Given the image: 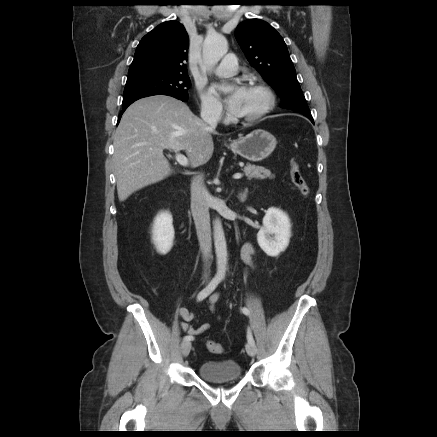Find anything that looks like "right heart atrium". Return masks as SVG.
I'll list each match as a JSON object with an SVG mask.
<instances>
[{"mask_svg":"<svg viewBox=\"0 0 437 437\" xmlns=\"http://www.w3.org/2000/svg\"><path fill=\"white\" fill-rule=\"evenodd\" d=\"M199 102L203 117L208 119H220L223 115L222 104L212 94L204 90H199Z\"/></svg>","mask_w":437,"mask_h":437,"instance_id":"obj_1","label":"right heart atrium"}]
</instances>
